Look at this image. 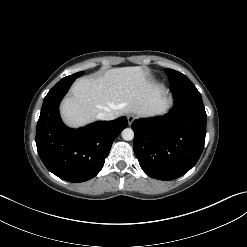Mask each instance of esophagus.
<instances>
[{
    "label": "esophagus",
    "mask_w": 247,
    "mask_h": 247,
    "mask_svg": "<svg viewBox=\"0 0 247 247\" xmlns=\"http://www.w3.org/2000/svg\"><path fill=\"white\" fill-rule=\"evenodd\" d=\"M135 119H136V117L133 114L127 115V120H128L129 125H131Z\"/></svg>",
    "instance_id": "esophagus-1"
}]
</instances>
